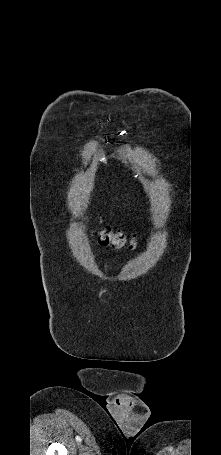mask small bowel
Here are the masks:
<instances>
[{
    "label": "small bowel",
    "instance_id": "c3829d8e",
    "mask_svg": "<svg viewBox=\"0 0 221 455\" xmlns=\"http://www.w3.org/2000/svg\"><path fill=\"white\" fill-rule=\"evenodd\" d=\"M101 268H102V270H104V271L108 269V267H107L106 264H103V265L101 266Z\"/></svg>",
    "mask_w": 221,
    "mask_h": 455
}]
</instances>
